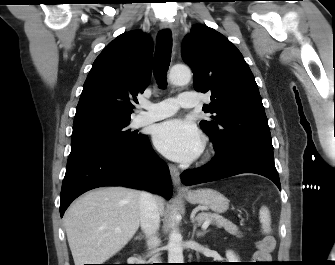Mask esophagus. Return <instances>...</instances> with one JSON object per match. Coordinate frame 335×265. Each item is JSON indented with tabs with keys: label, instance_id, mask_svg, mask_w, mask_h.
<instances>
[{
	"label": "esophagus",
	"instance_id": "esophagus-1",
	"mask_svg": "<svg viewBox=\"0 0 335 265\" xmlns=\"http://www.w3.org/2000/svg\"><path fill=\"white\" fill-rule=\"evenodd\" d=\"M160 28L162 30H166V29L172 30L173 29L172 24L170 22H168V21H162L160 23ZM169 169H170V174H171L172 182H173L174 186L179 191H185V189L181 186V183H180V173H179V170L174 165H170Z\"/></svg>",
	"mask_w": 335,
	"mask_h": 265
}]
</instances>
